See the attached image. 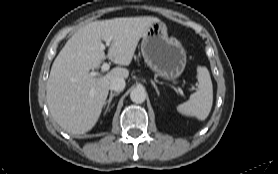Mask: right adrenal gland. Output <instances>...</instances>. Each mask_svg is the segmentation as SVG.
<instances>
[{"label": "right adrenal gland", "mask_w": 278, "mask_h": 174, "mask_svg": "<svg viewBox=\"0 0 278 174\" xmlns=\"http://www.w3.org/2000/svg\"><path fill=\"white\" fill-rule=\"evenodd\" d=\"M119 95V92H116V93H110V96H109V99L105 102V106L107 105L106 109H105V112L104 114L107 113V111H110V104H111V101L113 99L114 96H118Z\"/></svg>", "instance_id": "2a0ac1e0"}]
</instances>
